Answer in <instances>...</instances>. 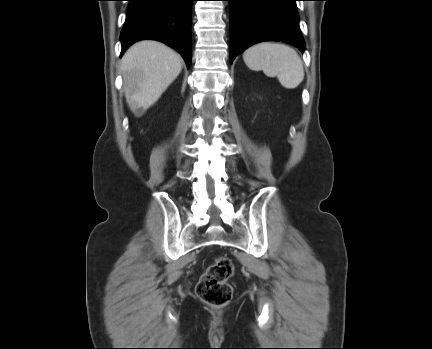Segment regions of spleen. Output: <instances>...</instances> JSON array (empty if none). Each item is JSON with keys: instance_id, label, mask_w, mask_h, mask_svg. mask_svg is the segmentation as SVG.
I'll return each mask as SVG.
<instances>
[{"instance_id": "3e777b00", "label": "spleen", "mask_w": 432, "mask_h": 349, "mask_svg": "<svg viewBox=\"0 0 432 349\" xmlns=\"http://www.w3.org/2000/svg\"><path fill=\"white\" fill-rule=\"evenodd\" d=\"M243 59L251 70H262L268 77H277L286 89L296 88L304 79L301 58L293 48L285 44H256L244 52Z\"/></svg>"}]
</instances>
